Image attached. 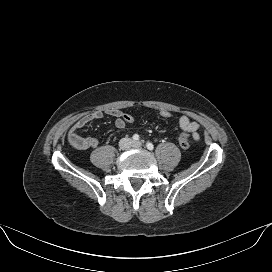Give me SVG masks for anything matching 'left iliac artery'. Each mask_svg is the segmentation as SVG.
I'll list each match as a JSON object with an SVG mask.
<instances>
[{
  "instance_id": "left-iliac-artery-1",
  "label": "left iliac artery",
  "mask_w": 272,
  "mask_h": 272,
  "mask_svg": "<svg viewBox=\"0 0 272 272\" xmlns=\"http://www.w3.org/2000/svg\"><path fill=\"white\" fill-rule=\"evenodd\" d=\"M146 147H147L149 150H153V149H154L153 144L150 143V142H147Z\"/></svg>"
}]
</instances>
